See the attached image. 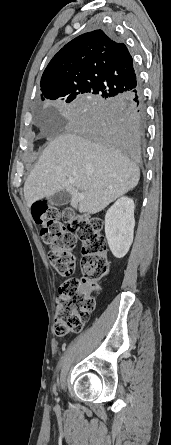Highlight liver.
<instances>
[{"label": "liver", "mask_w": 171, "mask_h": 445, "mask_svg": "<svg viewBox=\"0 0 171 445\" xmlns=\"http://www.w3.org/2000/svg\"><path fill=\"white\" fill-rule=\"evenodd\" d=\"M69 178L75 183L70 184ZM139 178L137 164L110 145L66 133L55 137L42 152L24 184V197L31 207L37 200L66 190L73 208L96 214L135 188Z\"/></svg>", "instance_id": "6515ba94"}]
</instances>
